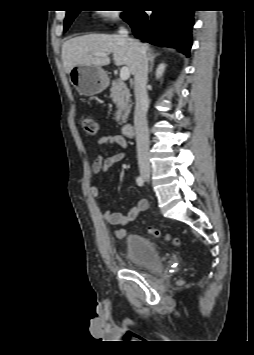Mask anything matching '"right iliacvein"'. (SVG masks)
I'll list each match as a JSON object with an SVG mask.
<instances>
[{"label":"right iliac vein","instance_id":"63e3f726","mask_svg":"<svg viewBox=\"0 0 254 355\" xmlns=\"http://www.w3.org/2000/svg\"><path fill=\"white\" fill-rule=\"evenodd\" d=\"M141 176L146 179V180H149L150 179V176H151V171L149 169H141Z\"/></svg>","mask_w":254,"mask_h":355}]
</instances>
